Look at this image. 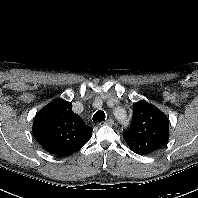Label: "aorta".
<instances>
[{"instance_id":"1","label":"aorta","mask_w":198,"mask_h":198,"mask_svg":"<svg viewBox=\"0 0 198 198\" xmlns=\"http://www.w3.org/2000/svg\"><path fill=\"white\" fill-rule=\"evenodd\" d=\"M114 114L121 122H124V123L127 122V117L123 109L119 108L115 110Z\"/></svg>"}]
</instances>
